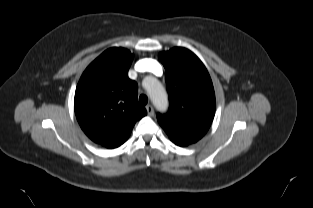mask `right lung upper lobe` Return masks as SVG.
<instances>
[{
	"label": "right lung upper lobe",
	"mask_w": 313,
	"mask_h": 208,
	"mask_svg": "<svg viewBox=\"0 0 313 208\" xmlns=\"http://www.w3.org/2000/svg\"><path fill=\"white\" fill-rule=\"evenodd\" d=\"M132 60L127 49L106 50L86 68L75 91L79 125L92 141L109 149L123 144L147 114L137 101V83L128 78Z\"/></svg>",
	"instance_id": "cb5924a9"
}]
</instances>
